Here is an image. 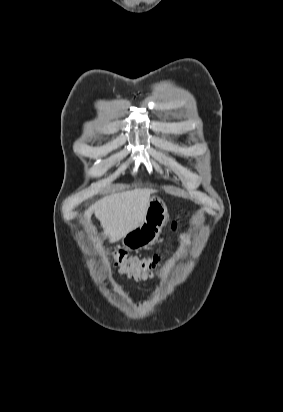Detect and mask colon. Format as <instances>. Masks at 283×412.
I'll return each mask as SVG.
<instances>
[{"label":"colon","mask_w":283,"mask_h":412,"mask_svg":"<svg viewBox=\"0 0 283 412\" xmlns=\"http://www.w3.org/2000/svg\"><path fill=\"white\" fill-rule=\"evenodd\" d=\"M184 215H178L172 222L171 227L175 230L182 217ZM112 258L114 264L118 267V270L134 279H147L156 274L157 267L161 262V256L154 255L151 258L139 259L128 255L125 251L115 249L112 252Z\"/></svg>","instance_id":"5ec220e1"}]
</instances>
